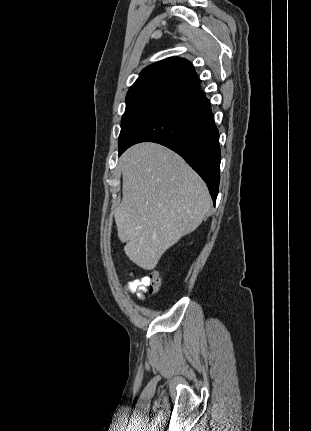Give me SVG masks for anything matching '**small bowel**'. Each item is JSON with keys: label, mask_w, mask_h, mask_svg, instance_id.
<instances>
[{"label": "small bowel", "mask_w": 311, "mask_h": 431, "mask_svg": "<svg viewBox=\"0 0 311 431\" xmlns=\"http://www.w3.org/2000/svg\"><path fill=\"white\" fill-rule=\"evenodd\" d=\"M149 285L150 278L148 276H144L140 279H133L129 281L126 285V290L132 294H136L137 298L143 301L145 299V294Z\"/></svg>", "instance_id": "1"}]
</instances>
